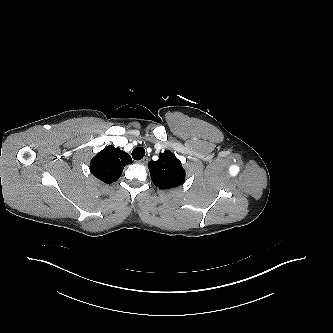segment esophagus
Here are the masks:
<instances>
[{
    "mask_svg": "<svg viewBox=\"0 0 333 333\" xmlns=\"http://www.w3.org/2000/svg\"><path fill=\"white\" fill-rule=\"evenodd\" d=\"M147 162H148V158H147V157H144L143 159H141V160L139 161V163L142 164V165L147 164Z\"/></svg>",
    "mask_w": 333,
    "mask_h": 333,
    "instance_id": "34e87169",
    "label": "esophagus"
}]
</instances>
